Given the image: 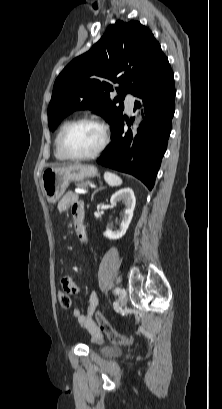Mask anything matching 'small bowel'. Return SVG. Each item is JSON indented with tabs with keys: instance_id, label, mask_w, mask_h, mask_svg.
Instances as JSON below:
<instances>
[{
	"instance_id": "c3829d8e",
	"label": "small bowel",
	"mask_w": 222,
	"mask_h": 409,
	"mask_svg": "<svg viewBox=\"0 0 222 409\" xmlns=\"http://www.w3.org/2000/svg\"><path fill=\"white\" fill-rule=\"evenodd\" d=\"M60 212H66L71 210L74 218L75 231L82 243H88V236L83 225L84 217V204L78 200L77 195L74 192H67L58 205ZM62 286H70L69 296L77 297L80 291L79 286L69 276L64 277L62 280ZM99 305V298L95 292H91L89 295L88 305L84 313L79 308L73 310V316L78 320L79 324L88 330L93 338L97 341L101 340L102 335L96 326L93 317L97 311Z\"/></svg>"
}]
</instances>
